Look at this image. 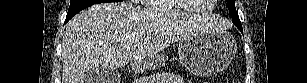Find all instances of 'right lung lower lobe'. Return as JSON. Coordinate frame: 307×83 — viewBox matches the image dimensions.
<instances>
[{"instance_id":"98d812e1","label":"right lung lower lobe","mask_w":307,"mask_h":83,"mask_svg":"<svg viewBox=\"0 0 307 83\" xmlns=\"http://www.w3.org/2000/svg\"><path fill=\"white\" fill-rule=\"evenodd\" d=\"M70 19L66 18L65 22H68Z\"/></svg>"}]
</instances>
